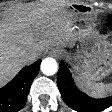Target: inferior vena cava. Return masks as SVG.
I'll return each mask as SVG.
<instances>
[{
    "label": "inferior vena cava",
    "instance_id": "1",
    "mask_svg": "<svg viewBox=\"0 0 112 112\" xmlns=\"http://www.w3.org/2000/svg\"><path fill=\"white\" fill-rule=\"evenodd\" d=\"M37 53L35 52H26L21 56V60L27 64L33 62L37 58Z\"/></svg>",
    "mask_w": 112,
    "mask_h": 112
}]
</instances>
